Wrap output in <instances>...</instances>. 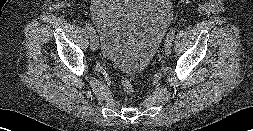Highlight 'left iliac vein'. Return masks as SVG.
Returning <instances> with one entry per match:
<instances>
[{
    "label": "left iliac vein",
    "instance_id": "1",
    "mask_svg": "<svg viewBox=\"0 0 253 131\" xmlns=\"http://www.w3.org/2000/svg\"><path fill=\"white\" fill-rule=\"evenodd\" d=\"M172 51V41L170 39H166L165 40V48H164V52L166 55L171 54Z\"/></svg>",
    "mask_w": 253,
    "mask_h": 131
}]
</instances>
